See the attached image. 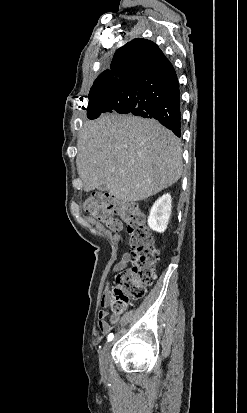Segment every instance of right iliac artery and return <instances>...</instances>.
<instances>
[{
	"label": "right iliac artery",
	"mask_w": 247,
	"mask_h": 413,
	"mask_svg": "<svg viewBox=\"0 0 247 413\" xmlns=\"http://www.w3.org/2000/svg\"><path fill=\"white\" fill-rule=\"evenodd\" d=\"M113 338H114L113 333H110L107 337L108 342L112 341Z\"/></svg>",
	"instance_id": "right-iliac-artery-1"
}]
</instances>
